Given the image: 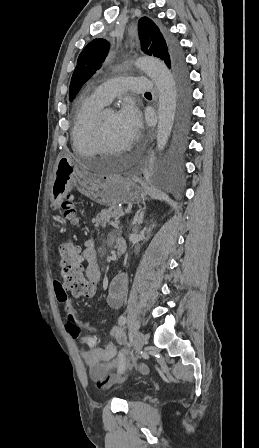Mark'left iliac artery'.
<instances>
[{
  "label": "left iliac artery",
  "mask_w": 259,
  "mask_h": 448,
  "mask_svg": "<svg viewBox=\"0 0 259 448\" xmlns=\"http://www.w3.org/2000/svg\"><path fill=\"white\" fill-rule=\"evenodd\" d=\"M126 322H127V318L125 316H121L118 320V324L121 326L126 324ZM119 354H120V356H123L122 352H120Z\"/></svg>",
  "instance_id": "44dca946"
}]
</instances>
